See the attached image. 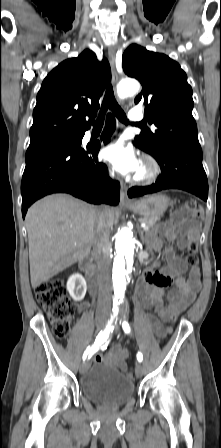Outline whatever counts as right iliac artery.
I'll return each mask as SVG.
<instances>
[{"label":"right iliac artery","instance_id":"right-iliac-artery-1","mask_svg":"<svg viewBox=\"0 0 221 448\" xmlns=\"http://www.w3.org/2000/svg\"><path fill=\"white\" fill-rule=\"evenodd\" d=\"M112 321L113 319H111L106 325V328L98 334L94 344L92 346L87 347L86 351L83 354V361L89 359L96 351H98L99 347L107 340V338L109 337V333L112 332L114 329Z\"/></svg>","mask_w":221,"mask_h":448}]
</instances>
